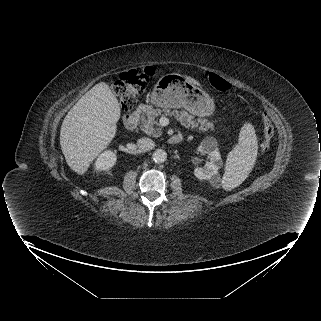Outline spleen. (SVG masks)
Here are the masks:
<instances>
[{"instance_id": "3e777b00", "label": "spleen", "mask_w": 321, "mask_h": 321, "mask_svg": "<svg viewBox=\"0 0 321 321\" xmlns=\"http://www.w3.org/2000/svg\"><path fill=\"white\" fill-rule=\"evenodd\" d=\"M258 143L252 124L245 123L239 133V142L229 152L223 175L222 187L232 190L249 175L257 157Z\"/></svg>"}]
</instances>
